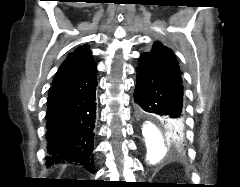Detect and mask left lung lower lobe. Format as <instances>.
I'll return each instance as SVG.
<instances>
[{
  "label": "left lung lower lobe",
  "instance_id": "left-lung-lower-lobe-1",
  "mask_svg": "<svg viewBox=\"0 0 240 187\" xmlns=\"http://www.w3.org/2000/svg\"><path fill=\"white\" fill-rule=\"evenodd\" d=\"M134 101L140 118L162 119L173 139L183 133V86L168 77L147 55L140 58L137 68Z\"/></svg>",
  "mask_w": 240,
  "mask_h": 187
}]
</instances>
